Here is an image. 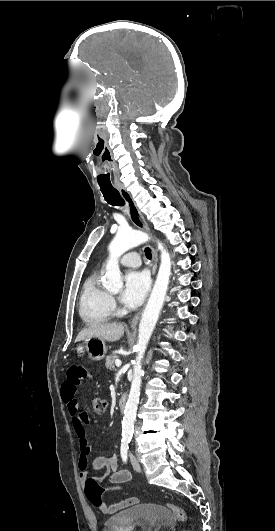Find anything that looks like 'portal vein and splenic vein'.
I'll use <instances>...</instances> for the list:
<instances>
[{
  "label": "portal vein and splenic vein",
  "mask_w": 275,
  "mask_h": 531,
  "mask_svg": "<svg viewBox=\"0 0 275 531\" xmlns=\"http://www.w3.org/2000/svg\"><path fill=\"white\" fill-rule=\"evenodd\" d=\"M115 365H116V367H121L122 363H121L120 359H116Z\"/></svg>",
  "instance_id": "18ae733b"
}]
</instances>
